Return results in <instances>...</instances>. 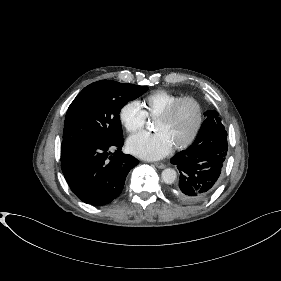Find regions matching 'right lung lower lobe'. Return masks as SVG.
Returning <instances> with one entry per match:
<instances>
[{"mask_svg": "<svg viewBox=\"0 0 281 281\" xmlns=\"http://www.w3.org/2000/svg\"><path fill=\"white\" fill-rule=\"evenodd\" d=\"M123 142L86 143L61 153L64 177L81 201L101 206L120 195L128 172L139 163L121 151ZM111 148L116 150L109 156Z\"/></svg>", "mask_w": 281, "mask_h": 281, "instance_id": "98d812e1", "label": "right lung lower lobe"}]
</instances>
